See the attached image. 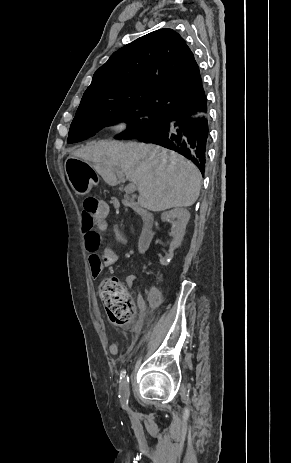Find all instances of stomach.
<instances>
[{
    "mask_svg": "<svg viewBox=\"0 0 291 463\" xmlns=\"http://www.w3.org/2000/svg\"><path fill=\"white\" fill-rule=\"evenodd\" d=\"M64 169L77 194L85 195L95 185L96 178L88 157H67Z\"/></svg>",
    "mask_w": 291,
    "mask_h": 463,
    "instance_id": "0dacf381",
    "label": "stomach"
}]
</instances>
